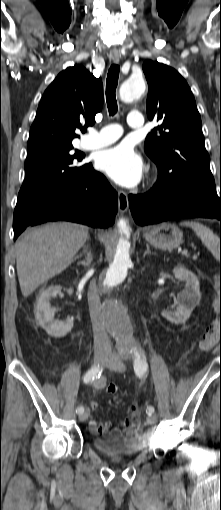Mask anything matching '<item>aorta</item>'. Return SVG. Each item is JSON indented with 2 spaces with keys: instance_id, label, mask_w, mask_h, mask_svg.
Returning a JSON list of instances; mask_svg holds the SVG:
<instances>
[{
  "instance_id": "762f6f07",
  "label": "aorta",
  "mask_w": 221,
  "mask_h": 510,
  "mask_svg": "<svg viewBox=\"0 0 221 510\" xmlns=\"http://www.w3.org/2000/svg\"><path fill=\"white\" fill-rule=\"evenodd\" d=\"M145 89L146 85L143 78H129L120 87V99L130 103L140 98ZM117 226L121 236L113 260L100 282V289L103 292L111 291L125 280L131 263L130 242L123 237L125 233L129 232L127 221L121 218L117 222ZM104 318L107 326L116 335L119 345H129L132 338L130 321L125 309L117 300L108 298L105 301Z\"/></svg>"
}]
</instances>
